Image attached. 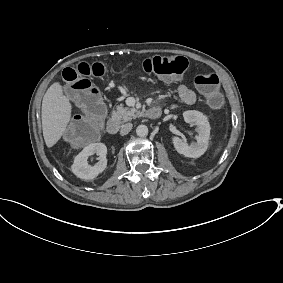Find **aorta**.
<instances>
[{"instance_id": "1", "label": "aorta", "mask_w": 283, "mask_h": 283, "mask_svg": "<svg viewBox=\"0 0 283 283\" xmlns=\"http://www.w3.org/2000/svg\"><path fill=\"white\" fill-rule=\"evenodd\" d=\"M136 134H137L139 137L147 136V134H148V127H147L146 125H139V126L136 128Z\"/></svg>"}]
</instances>
